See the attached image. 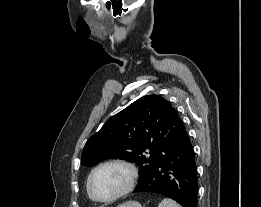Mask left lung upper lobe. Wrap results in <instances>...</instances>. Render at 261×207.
<instances>
[{
	"mask_svg": "<svg viewBox=\"0 0 261 207\" xmlns=\"http://www.w3.org/2000/svg\"><path fill=\"white\" fill-rule=\"evenodd\" d=\"M183 129L182 120L167 100L160 95L143 96L88 139L81 165L89 167L109 158L135 162L140 182L174 149Z\"/></svg>",
	"mask_w": 261,
	"mask_h": 207,
	"instance_id": "1",
	"label": "left lung upper lobe"
}]
</instances>
